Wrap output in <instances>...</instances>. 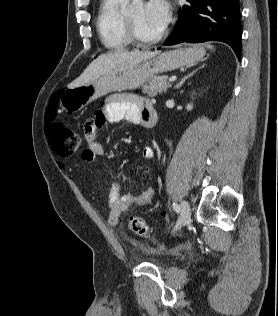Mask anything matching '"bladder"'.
Here are the masks:
<instances>
[{
    "label": "bladder",
    "mask_w": 278,
    "mask_h": 316,
    "mask_svg": "<svg viewBox=\"0 0 278 316\" xmlns=\"http://www.w3.org/2000/svg\"><path fill=\"white\" fill-rule=\"evenodd\" d=\"M153 264L159 266L160 268H163L166 266V263L165 262H153Z\"/></svg>",
    "instance_id": "obj_1"
}]
</instances>
